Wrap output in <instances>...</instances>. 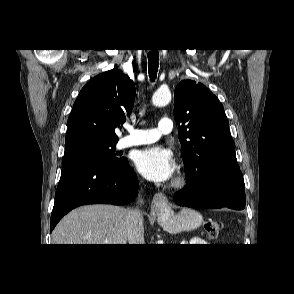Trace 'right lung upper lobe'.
I'll use <instances>...</instances> for the list:
<instances>
[{"instance_id": "1", "label": "right lung upper lobe", "mask_w": 294, "mask_h": 294, "mask_svg": "<svg viewBox=\"0 0 294 294\" xmlns=\"http://www.w3.org/2000/svg\"><path fill=\"white\" fill-rule=\"evenodd\" d=\"M135 86L121 70L95 76L80 91L68 118L65 142L95 139L117 142L115 128L131 114Z\"/></svg>"}]
</instances>
